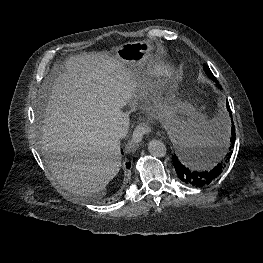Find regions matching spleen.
I'll return each instance as SVG.
<instances>
[{"instance_id": "3e777b00", "label": "spleen", "mask_w": 263, "mask_h": 263, "mask_svg": "<svg viewBox=\"0 0 263 263\" xmlns=\"http://www.w3.org/2000/svg\"><path fill=\"white\" fill-rule=\"evenodd\" d=\"M172 141L189 153L197 154V165L208 168L222 156L230 137L229 121L218 118L211 122L204 120L178 122L171 132Z\"/></svg>"}]
</instances>
